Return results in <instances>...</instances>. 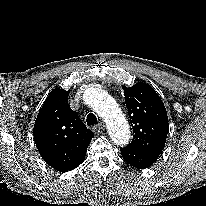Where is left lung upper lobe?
<instances>
[{
  "label": "left lung upper lobe",
  "mask_w": 206,
  "mask_h": 206,
  "mask_svg": "<svg viewBox=\"0 0 206 206\" xmlns=\"http://www.w3.org/2000/svg\"><path fill=\"white\" fill-rule=\"evenodd\" d=\"M125 103L133 127V140L126 147L160 154L169 129L165 106L156 91L144 82L123 86Z\"/></svg>",
  "instance_id": "1"
}]
</instances>
